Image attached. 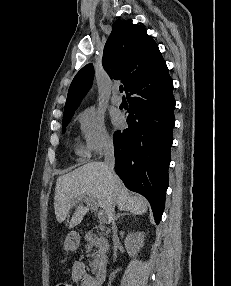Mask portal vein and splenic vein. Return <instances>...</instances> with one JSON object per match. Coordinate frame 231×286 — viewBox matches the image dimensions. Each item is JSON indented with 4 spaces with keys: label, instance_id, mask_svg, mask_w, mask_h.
<instances>
[{
    "label": "portal vein and splenic vein",
    "instance_id": "portal-vein-and-splenic-vein-1",
    "mask_svg": "<svg viewBox=\"0 0 231 286\" xmlns=\"http://www.w3.org/2000/svg\"><path fill=\"white\" fill-rule=\"evenodd\" d=\"M85 199H86V201L89 203V205L91 206L92 209H94V210L97 209L98 203L96 202L95 199L90 198V197H86ZM75 203H77L76 200L73 202V204H75ZM98 219H99V223H100V224L105 223V221H106V216H105V213H104L103 210H99V211H98Z\"/></svg>",
    "mask_w": 231,
    "mask_h": 286
}]
</instances>
